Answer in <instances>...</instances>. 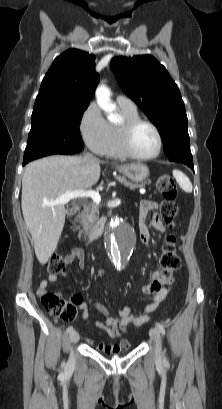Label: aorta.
I'll return each instance as SVG.
<instances>
[{"mask_svg": "<svg viewBox=\"0 0 222 409\" xmlns=\"http://www.w3.org/2000/svg\"><path fill=\"white\" fill-rule=\"evenodd\" d=\"M110 91L103 85L96 90L97 103L108 113V120L114 121L117 117L113 113L115 106L110 103ZM134 231L126 222L112 218L107 230V245L115 265L130 256L133 250Z\"/></svg>", "mask_w": 222, "mask_h": 409, "instance_id": "aorta-1", "label": "aorta"}]
</instances>
